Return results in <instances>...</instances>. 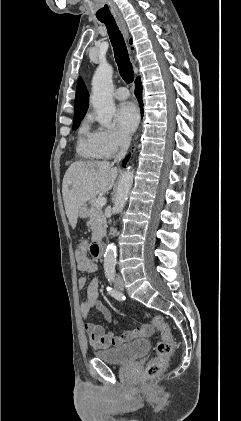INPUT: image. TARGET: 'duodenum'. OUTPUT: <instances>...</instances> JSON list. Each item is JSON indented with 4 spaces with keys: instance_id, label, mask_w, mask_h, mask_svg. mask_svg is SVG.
Segmentation results:
<instances>
[{
    "instance_id": "duodenum-1",
    "label": "duodenum",
    "mask_w": 241,
    "mask_h": 421,
    "mask_svg": "<svg viewBox=\"0 0 241 421\" xmlns=\"http://www.w3.org/2000/svg\"><path fill=\"white\" fill-rule=\"evenodd\" d=\"M90 250L92 255H94L95 257L103 256L105 251L104 241L101 238H97L92 242Z\"/></svg>"
}]
</instances>
